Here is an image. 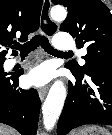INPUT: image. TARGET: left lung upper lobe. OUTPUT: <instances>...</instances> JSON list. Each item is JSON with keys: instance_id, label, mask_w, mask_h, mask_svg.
<instances>
[{"instance_id": "1", "label": "left lung upper lobe", "mask_w": 112, "mask_h": 135, "mask_svg": "<svg viewBox=\"0 0 112 135\" xmlns=\"http://www.w3.org/2000/svg\"><path fill=\"white\" fill-rule=\"evenodd\" d=\"M68 9V15L60 31L69 32L79 48H87L83 58L86 63L76 62L67 66L80 75L95 69H112V15L101 0H52Z\"/></svg>"}]
</instances>
